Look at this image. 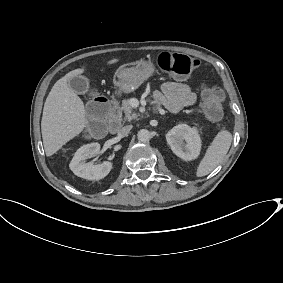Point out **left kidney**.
<instances>
[{
    "mask_svg": "<svg viewBox=\"0 0 283 283\" xmlns=\"http://www.w3.org/2000/svg\"><path fill=\"white\" fill-rule=\"evenodd\" d=\"M171 150L184 160L195 159L200 152V137L188 125H177L166 134Z\"/></svg>",
    "mask_w": 283,
    "mask_h": 283,
    "instance_id": "1",
    "label": "left kidney"
}]
</instances>
